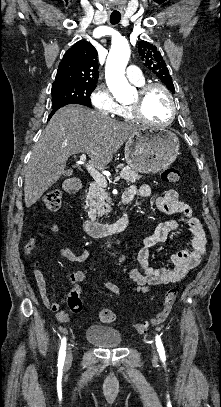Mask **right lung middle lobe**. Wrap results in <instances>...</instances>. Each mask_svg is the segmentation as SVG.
<instances>
[{
	"label": "right lung middle lobe",
	"mask_w": 221,
	"mask_h": 407,
	"mask_svg": "<svg viewBox=\"0 0 221 407\" xmlns=\"http://www.w3.org/2000/svg\"><path fill=\"white\" fill-rule=\"evenodd\" d=\"M96 88V84L73 83L52 88V107L66 104H81L90 106V95Z\"/></svg>",
	"instance_id": "right-lung-middle-lobe-1"
}]
</instances>
